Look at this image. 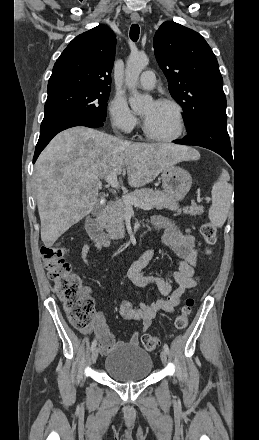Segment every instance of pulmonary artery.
Returning <instances> with one entry per match:
<instances>
[{
  "instance_id": "1",
  "label": "pulmonary artery",
  "mask_w": 259,
  "mask_h": 440,
  "mask_svg": "<svg viewBox=\"0 0 259 440\" xmlns=\"http://www.w3.org/2000/svg\"><path fill=\"white\" fill-rule=\"evenodd\" d=\"M155 74L151 70L144 71L139 80V87L145 90H150L155 86Z\"/></svg>"
}]
</instances>
